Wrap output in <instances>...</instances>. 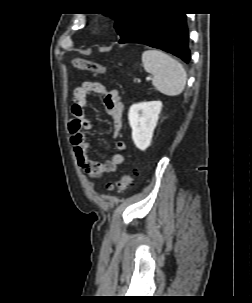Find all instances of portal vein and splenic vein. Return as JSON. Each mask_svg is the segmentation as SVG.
<instances>
[{"label": "portal vein and splenic vein", "mask_w": 252, "mask_h": 303, "mask_svg": "<svg viewBox=\"0 0 252 303\" xmlns=\"http://www.w3.org/2000/svg\"><path fill=\"white\" fill-rule=\"evenodd\" d=\"M146 80H151V77H147Z\"/></svg>", "instance_id": "1"}]
</instances>
